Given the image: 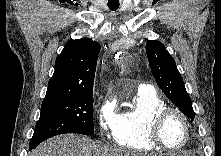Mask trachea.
Segmentation results:
<instances>
[{
    "instance_id": "obj_1",
    "label": "trachea",
    "mask_w": 221,
    "mask_h": 156,
    "mask_svg": "<svg viewBox=\"0 0 221 156\" xmlns=\"http://www.w3.org/2000/svg\"><path fill=\"white\" fill-rule=\"evenodd\" d=\"M108 7L112 11H116L119 8V1L118 0H109Z\"/></svg>"
}]
</instances>
